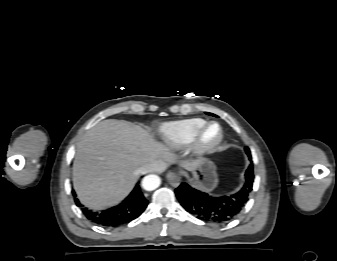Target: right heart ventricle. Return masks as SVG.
<instances>
[{
	"mask_svg": "<svg viewBox=\"0 0 337 261\" xmlns=\"http://www.w3.org/2000/svg\"><path fill=\"white\" fill-rule=\"evenodd\" d=\"M205 123L201 118L183 119L163 124L159 132L167 145L178 149L190 144L196 132Z\"/></svg>",
	"mask_w": 337,
	"mask_h": 261,
	"instance_id": "1",
	"label": "right heart ventricle"
}]
</instances>
